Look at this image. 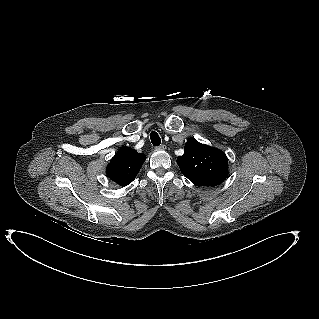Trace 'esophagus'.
<instances>
[{"label": "esophagus", "instance_id": "esophagus-1", "mask_svg": "<svg viewBox=\"0 0 319 319\" xmlns=\"http://www.w3.org/2000/svg\"><path fill=\"white\" fill-rule=\"evenodd\" d=\"M157 149H159V150H165V149H166V145L161 144L160 146L157 147Z\"/></svg>", "mask_w": 319, "mask_h": 319}]
</instances>
